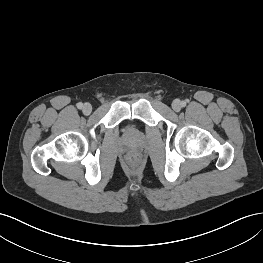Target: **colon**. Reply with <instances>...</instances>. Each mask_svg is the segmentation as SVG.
I'll use <instances>...</instances> for the list:
<instances>
[{
    "label": "colon",
    "instance_id": "5ec220e1",
    "mask_svg": "<svg viewBox=\"0 0 263 263\" xmlns=\"http://www.w3.org/2000/svg\"><path fill=\"white\" fill-rule=\"evenodd\" d=\"M129 159L133 162L138 161L139 160V155L138 154H131Z\"/></svg>",
    "mask_w": 263,
    "mask_h": 263
}]
</instances>
